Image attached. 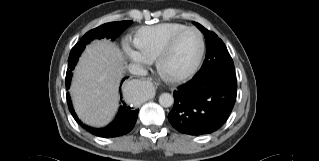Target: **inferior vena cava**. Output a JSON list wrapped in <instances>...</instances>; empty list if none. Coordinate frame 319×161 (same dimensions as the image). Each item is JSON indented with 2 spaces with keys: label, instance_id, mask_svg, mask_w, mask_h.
<instances>
[{
  "label": "inferior vena cava",
  "instance_id": "602c4592",
  "mask_svg": "<svg viewBox=\"0 0 319 161\" xmlns=\"http://www.w3.org/2000/svg\"><path fill=\"white\" fill-rule=\"evenodd\" d=\"M128 70L134 75H146L147 71L140 64H129Z\"/></svg>",
  "mask_w": 319,
  "mask_h": 161
}]
</instances>
